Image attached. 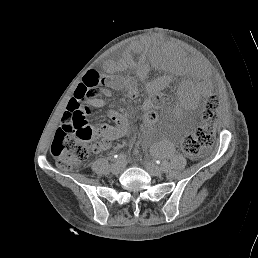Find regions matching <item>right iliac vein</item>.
Instances as JSON below:
<instances>
[{
    "label": "right iliac vein",
    "mask_w": 258,
    "mask_h": 258,
    "mask_svg": "<svg viewBox=\"0 0 258 258\" xmlns=\"http://www.w3.org/2000/svg\"><path fill=\"white\" fill-rule=\"evenodd\" d=\"M122 167H123L122 162H121V161H117L116 163L112 164V166H111V172H112L113 174H118V173L121 172Z\"/></svg>",
    "instance_id": "1"
}]
</instances>
